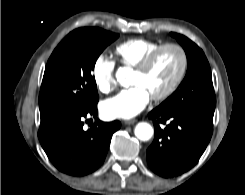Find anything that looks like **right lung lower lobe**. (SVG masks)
I'll list each match as a JSON object with an SVG mask.
<instances>
[{
    "mask_svg": "<svg viewBox=\"0 0 245 195\" xmlns=\"http://www.w3.org/2000/svg\"><path fill=\"white\" fill-rule=\"evenodd\" d=\"M97 113L96 104L87 110L41 118L40 143L50 161L61 172L84 176L103 163L111 137L121 123H105L96 119L90 129L84 130V118L87 115L96 118Z\"/></svg>",
    "mask_w": 245,
    "mask_h": 195,
    "instance_id": "right-lung-lower-lobe-1",
    "label": "right lung lower lobe"
}]
</instances>
